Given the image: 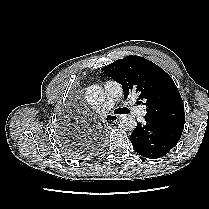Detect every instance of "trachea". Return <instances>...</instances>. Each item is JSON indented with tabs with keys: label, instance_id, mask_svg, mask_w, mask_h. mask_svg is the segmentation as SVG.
Returning <instances> with one entry per match:
<instances>
[{
	"label": "trachea",
	"instance_id": "1",
	"mask_svg": "<svg viewBox=\"0 0 209 209\" xmlns=\"http://www.w3.org/2000/svg\"><path fill=\"white\" fill-rule=\"evenodd\" d=\"M115 114H127L129 110L127 108H118L114 111ZM108 119V117H107Z\"/></svg>",
	"mask_w": 209,
	"mask_h": 209
}]
</instances>
